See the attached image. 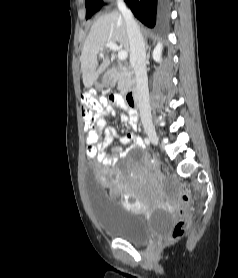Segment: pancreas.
I'll list each match as a JSON object with an SVG mask.
<instances>
[{"label":"pancreas","instance_id":"pancreas-1","mask_svg":"<svg viewBox=\"0 0 238 278\" xmlns=\"http://www.w3.org/2000/svg\"><path fill=\"white\" fill-rule=\"evenodd\" d=\"M133 83L134 80L132 79L131 73L124 67H120L118 75V90H120L121 93H126L132 88Z\"/></svg>","mask_w":238,"mask_h":278}]
</instances>
